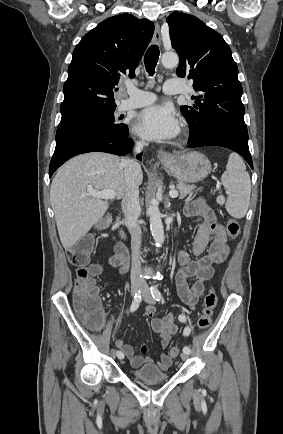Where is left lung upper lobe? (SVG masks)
<instances>
[{
  "instance_id": "obj_1",
  "label": "left lung upper lobe",
  "mask_w": 283,
  "mask_h": 434,
  "mask_svg": "<svg viewBox=\"0 0 283 434\" xmlns=\"http://www.w3.org/2000/svg\"><path fill=\"white\" fill-rule=\"evenodd\" d=\"M172 47L180 58L178 77L193 80L195 105L180 110L190 125L189 141L227 133L248 140L242 85L223 37L197 17L173 12L168 18Z\"/></svg>"
}]
</instances>
